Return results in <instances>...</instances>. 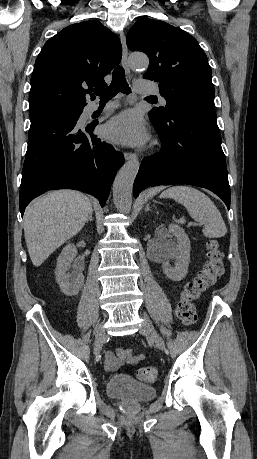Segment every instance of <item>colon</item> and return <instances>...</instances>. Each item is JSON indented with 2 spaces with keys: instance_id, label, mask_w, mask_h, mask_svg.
<instances>
[{
  "instance_id": "colon-1",
  "label": "colon",
  "mask_w": 257,
  "mask_h": 459,
  "mask_svg": "<svg viewBox=\"0 0 257 459\" xmlns=\"http://www.w3.org/2000/svg\"><path fill=\"white\" fill-rule=\"evenodd\" d=\"M223 252L216 240L207 242V261L198 275L188 282L180 294L176 307V315L185 326L196 322L197 313L194 301L223 274ZM158 370L155 367H145L138 371V378L145 382L156 379Z\"/></svg>"
}]
</instances>
